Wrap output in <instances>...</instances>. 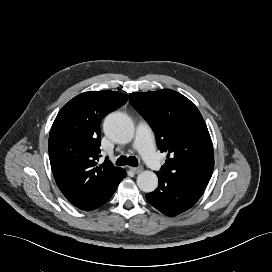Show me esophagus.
Instances as JSON below:
<instances>
[{
	"instance_id": "esophagus-1",
	"label": "esophagus",
	"mask_w": 272,
	"mask_h": 272,
	"mask_svg": "<svg viewBox=\"0 0 272 272\" xmlns=\"http://www.w3.org/2000/svg\"><path fill=\"white\" fill-rule=\"evenodd\" d=\"M135 174H139L143 171V167H129Z\"/></svg>"
}]
</instances>
